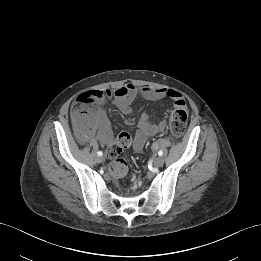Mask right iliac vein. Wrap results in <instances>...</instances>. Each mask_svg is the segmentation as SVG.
Masks as SVG:
<instances>
[{"label": "right iliac vein", "instance_id": "obj_1", "mask_svg": "<svg viewBox=\"0 0 261 261\" xmlns=\"http://www.w3.org/2000/svg\"><path fill=\"white\" fill-rule=\"evenodd\" d=\"M103 160H104V159H103L102 156H98V157H96V162L99 163V164L102 163Z\"/></svg>", "mask_w": 261, "mask_h": 261}]
</instances>
